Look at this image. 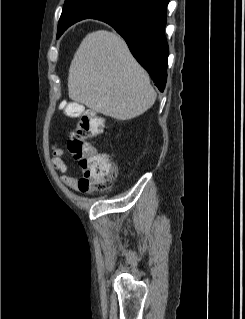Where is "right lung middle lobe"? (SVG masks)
Returning <instances> with one entry per match:
<instances>
[{
  "instance_id": "obj_1",
  "label": "right lung middle lobe",
  "mask_w": 245,
  "mask_h": 319,
  "mask_svg": "<svg viewBox=\"0 0 245 319\" xmlns=\"http://www.w3.org/2000/svg\"><path fill=\"white\" fill-rule=\"evenodd\" d=\"M126 1L127 0H85L80 2V6L95 17L103 12L114 9ZM66 28L67 27L61 30L58 29V33L62 34Z\"/></svg>"
}]
</instances>
